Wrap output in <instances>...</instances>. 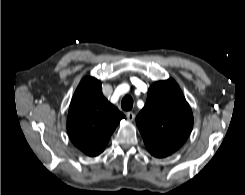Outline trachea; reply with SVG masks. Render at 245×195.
Segmentation results:
<instances>
[{"label": "trachea", "instance_id": "trachea-1", "mask_svg": "<svg viewBox=\"0 0 245 195\" xmlns=\"http://www.w3.org/2000/svg\"><path fill=\"white\" fill-rule=\"evenodd\" d=\"M121 107L125 111H129L133 107V99L130 96H125L121 101Z\"/></svg>", "mask_w": 245, "mask_h": 195}]
</instances>
